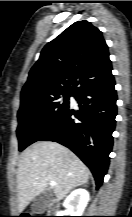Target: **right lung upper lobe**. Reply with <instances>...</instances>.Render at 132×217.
I'll return each instance as SVG.
<instances>
[{
  "mask_svg": "<svg viewBox=\"0 0 132 217\" xmlns=\"http://www.w3.org/2000/svg\"><path fill=\"white\" fill-rule=\"evenodd\" d=\"M108 47L101 31L78 21L49 42L29 72L21 98L76 93L113 77Z\"/></svg>",
  "mask_w": 132,
  "mask_h": 217,
  "instance_id": "1",
  "label": "right lung upper lobe"
}]
</instances>
